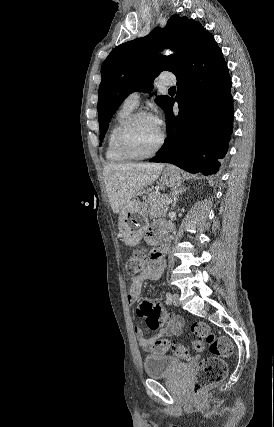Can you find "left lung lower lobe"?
Masks as SVG:
<instances>
[{
    "mask_svg": "<svg viewBox=\"0 0 274 427\" xmlns=\"http://www.w3.org/2000/svg\"><path fill=\"white\" fill-rule=\"evenodd\" d=\"M177 95L164 109L168 138L150 162L212 175L228 149L233 124L231 79L214 38L204 41L178 73ZM178 103L179 113L172 107Z\"/></svg>",
    "mask_w": 274,
    "mask_h": 427,
    "instance_id": "obj_1",
    "label": "left lung lower lobe"
}]
</instances>
